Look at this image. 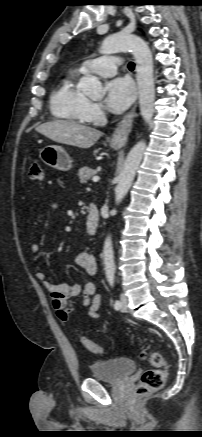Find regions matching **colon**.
Returning a JSON list of instances; mask_svg holds the SVG:
<instances>
[{"instance_id":"obj_1","label":"colon","mask_w":202,"mask_h":437,"mask_svg":"<svg viewBox=\"0 0 202 437\" xmlns=\"http://www.w3.org/2000/svg\"><path fill=\"white\" fill-rule=\"evenodd\" d=\"M29 175L33 180H42L44 178L43 165L38 160H33L30 163ZM82 345L90 352L95 354H101L103 347L85 336L80 337ZM142 359L148 360L152 369L146 370L140 381L134 388V395L136 397H142L152 392L160 390L167 376V361L164 356L159 352H152L150 354L142 353Z\"/></svg>"}]
</instances>
